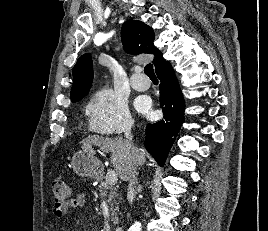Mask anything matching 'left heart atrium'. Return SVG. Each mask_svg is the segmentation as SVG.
<instances>
[{
    "instance_id": "1",
    "label": "left heart atrium",
    "mask_w": 268,
    "mask_h": 231,
    "mask_svg": "<svg viewBox=\"0 0 268 231\" xmlns=\"http://www.w3.org/2000/svg\"><path fill=\"white\" fill-rule=\"evenodd\" d=\"M136 108L141 112H148L149 111V103L142 99H138L136 101Z\"/></svg>"
}]
</instances>
